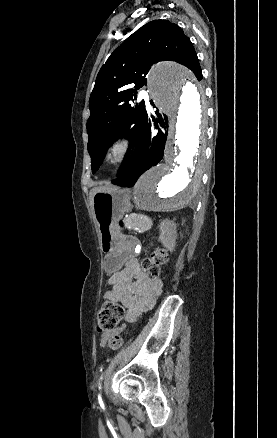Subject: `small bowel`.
Here are the masks:
<instances>
[{"label": "small bowel", "mask_w": 277, "mask_h": 438, "mask_svg": "<svg viewBox=\"0 0 277 438\" xmlns=\"http://www.w3.org/2000/svg\"><path fill=\"white\" fill-rule=\"evenodd\" d=\"M137 253L136 247L132 245L128 247L124 266L120 271L110 276L108 282L111 290L105 293L107 299L123 304L126 322H134L140 314L151 309L162 289L160 279L152 277L142 270ZM123 328L104 334L101 345H107L110 339L119 335Z\"/></svg>", "instance_id": "obj_1"}]
</instances>
